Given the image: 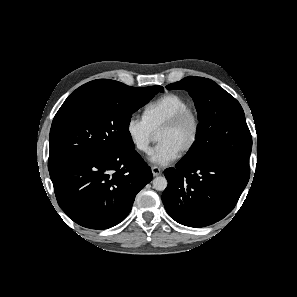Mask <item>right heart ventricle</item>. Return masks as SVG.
Listing matches in <instances>:
<instances>
[{
    "label": "right heart ventricle",
    "mask_w": 297,
    "mask_h": 297,
    "mask_svg": "<svg viewBox=\"0 0 297 297\" xmlns=\"http://www.w3.org/2000/svg\"><path fill=\"white\" fill-rule=\"evenodd\" d=\"M188 107H190V103L182 95L165 93L144 107L143 117L156 133L175 114Z\"/></svg>",
    "instance_id": "obj_1"
}]
</instances>
